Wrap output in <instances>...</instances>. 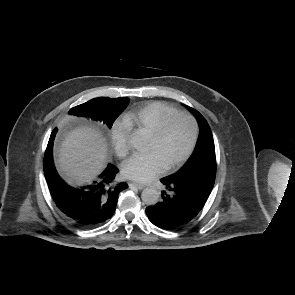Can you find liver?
I'll return each mask as SVG.
<instances>
[{
	"instance_id": "liver-1",
	"label": "liver",
	"mask_w": 295,
	"mask_h": 295,
	"mask_svg": "<svg viewBox=\"0 0 295 295\" xmlns=\"http://www.w3.org/2000/svg\"><path fill=\"white\" fill-rule=\"evenodd\" d=\"M107 143L100 132L87 127L67 134L58 156V168L69 182L84 183L95 178L104 168Z\"/></svg>"
}]
</instances>
